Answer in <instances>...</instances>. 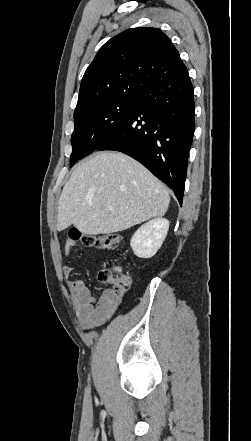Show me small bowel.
I'll return each instance as SVG.
<instances>
[{"mask_svg":"<svg viewBox=\"0 0 251 441\" xmlns=\"http://www.w3.org/2000/svg\"><path fill=\"white\" fill-rule=\"evenodd\" d=\"M75 245V241L67 240L64 245L65 254H68ZM63 271L66 276H70L74 272V267L65 266ZM70 291L74 298L78 322L84 329L104 324L115 313L124 295V291L108 288L99 298H95L82 279L70 281Z\"/></svg>","mask_w":251,"mask_h":441,"instance_id":"c3829d8e","label":"small bowel"}]
</instances>
